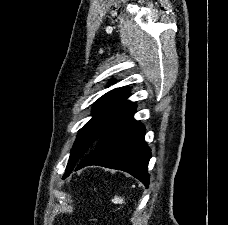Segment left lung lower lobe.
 <instances>
[{
  "label": "left lung lower lobe",
  "mask_w": 228,
  "mask_h": 225,
  "mask_svg": "<svg viewBox=\"0 0 228 225\" xmlns=\"http://www.w3.org/2000/svg\"><path fill=\"white\" fill-rule=\"evenodd\" d=\"M135 110L103 133L91 153L75 167V171L89 165L118 169L130 173L148 187L147 169L151 150L144 142L145 127L133 118Z\"/></svg>",
  "instance_id": "0a47b994"
}]
</instances>
